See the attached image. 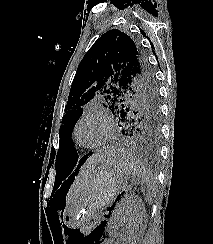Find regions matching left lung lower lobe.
I'll return each instance as SVG.
<instances>
[{"mask_svg": "<svg viewBox=\"0 0 213 244\" xmlns=\"http://www.w3.org/2000/svg\"><path fill=\"white\" fill-rule=\"evenodd\" d=\"M122 122L121 124V133L123 136L127 137L132 141V143L141 148L144 152L148 153L151 156H155L158 153V137H159V131L158 132H152V130H144L143 128H140L137 126V124H133L131 122H123V120H120ZM91 155V153H88L87 155L83 156L80 159H76L74 164L72 165L70 172L73 170V168L76 166L75 171L69 178L75 177V175L78 173L80 167L84 164V162L87 160V157Z\"/></svg>", "mask_w": 213, "mask_h": 244, "instance_id": "0a47b994", "label": "left lung lower lobe"}]
</instances>
